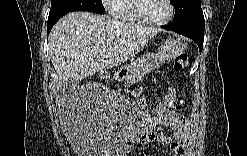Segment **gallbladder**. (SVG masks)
<instances>
[{
  "label": "gallbladder",
  "instance_id": "obj_1",
  "mask_svg": "<svg viewBox=\"0 0 247 156\" xmlns=\"http://www.w3.org/2000/svg\"><path fill=\"white\" fill-rule=\"evenodd\" d=\"M76 85V81L74 78H70L68 79L65 83H63L62 88H61V92L62 93H69Z\"/></svg>",
  "mask_w": 247,
  "mask_h": 156
}]
</instances>
